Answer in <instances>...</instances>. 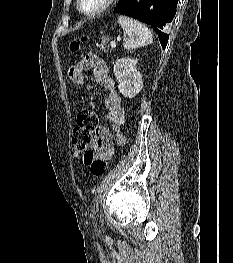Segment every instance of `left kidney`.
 Returning <instances> with one entry per match:
<instances>
[{
  "label": "left kidney",
  "instance_id": "left-kidney-1",
  "mask_svg": "<svg viewBox=\"0 0 233 263\" xmlns=\"http://www.w3.org/2000/svg\"><path fill=\"white\" fill-rule=\"evenodd\" d=\"M137 59L121 58L114 65L113 72L118 81V89L126 98H133L142 87V75L137 71Z\"/></svg>",
  "mask_w": 233,
  "mask_h": 263
}]
</instances>
